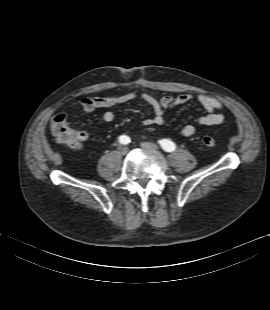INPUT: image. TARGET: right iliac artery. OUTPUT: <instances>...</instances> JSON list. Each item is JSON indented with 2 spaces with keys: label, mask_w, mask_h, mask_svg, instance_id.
<instances>
[{
  "label": "right iliac artery",
  "mask_w": 270,
  "mask_h": 310,
  "mask_svg": "<svg viewBox=\"0 0 270 310\" xmlns=\"http://www.w3.org/2000/svg\"><path fill=\"white\" fill-rule=\"evenodd\" d=\"M119 142L121 144H128L130 142V138L128 136H126V135H121L119 137Z\"/></svg>",
  "instance_id": "right-iliac-artery-1"
}]
</instances>
